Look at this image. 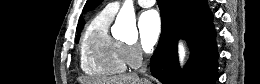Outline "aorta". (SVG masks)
<instances>
[{
	"label": "aorta",
	"mask_w": 260,
	"mask_h": 84,
	"mask_svg": "<svg viewBox=\"0 0 260 84\" xmlns=\"http://www.w3.org/2000/svg\"><path fill=\"white\" fill-rule=\"evenodd\" d=\"M115 28L117 29V36L124 41H135L138 37L136 28L135 11L132 1L127 0L120 9L116 21ZM179 58L183 63L185 58V48L182 43L179 44Z\"/></svg>",
	"instance_id": "1"
}]
</instances>
